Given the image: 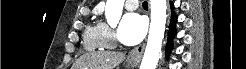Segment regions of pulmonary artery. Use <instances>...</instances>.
<instances>
[{
    "label": "pulmonary artery",
    "instance_id": "1",
    "mask_svg": "<svg viewBox=\"0 0 246 69\" xmlns=\"http://www.w3.org/2000/svg\"><path fill=\"white\" fill-rule=\"evenodd\" d=\"M138 4L139 2L136 0H127L125 1V7L128 10H135L136 8H138Z\"/></svg>",
    "mask_w": 246,
    "mask_h": 69
}]
</instances>
